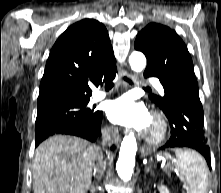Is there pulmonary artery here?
Listing matches in <instances>:
<instances>
[{
  "instance_id": "obj_1",
  "label": "pulmonary artery",
  "mask_w": 221,
  "mask_h": 193,
  "mask_svg": "<svg viewBox=\"0 0 221 193\" xmlns=\"http://www.w3.org/2000/svg\"><path fill=\"white\" fill-rule=\"evenodd\" d=\"M149 81L155 86V88L161 93L164 94V89L161 85V83L159 82L158 79L155 78H150ZM107 96V93L105 91H96L93 95H92V101L96 102V101H100L102 99H104Z\"/></svg>"
}]
</instances>
